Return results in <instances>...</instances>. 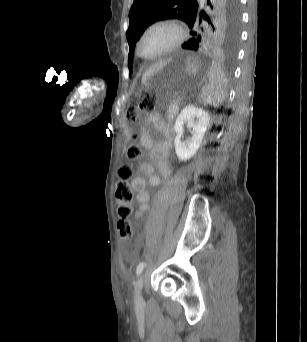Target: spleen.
<instances>
[{
    "label": "spleen",
    "mask_w": 307,
    "mask_h": 342,
    "mask_svg": "<svg viewBox=\"0 0 307 342\" xmlns=\"http://www.w3.org/2000/svg\"><path fill=\"white\" fill-rule=\"evenodd\" d=\"M209 71V83H203V93H200V100H203L205 104L218 106L226 98L227 80L217 62L209 66Z\"/></svg>",
    "instance_id": "obj_1"
}]
</instances>
